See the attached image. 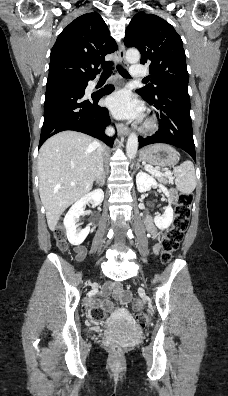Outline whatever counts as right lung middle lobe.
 Returning a JSON list of instances; mask_svg holds the SVG:
<instances>
[{
	"mask_svg": "<svg viewBox=\"0 0 228 396\" xmlns=\"http://www.w3.org/2000/svg\"><path fill=\"white\" fill-rule=\"evenodd\" d=\"M87 82H81V83H78V84H86Z\"/></svg>",
	"mask_w": 228,
	"mask_h": 396,
	"instance_id": "1",
	"label": "right lung middle lobe"
}]
</instances>
